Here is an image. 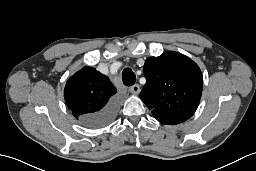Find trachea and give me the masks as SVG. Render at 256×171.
<instances>
[{
	"instance_id": "trachea-1",
	"label": "trachea",
	"mask_w": 256,
	"mask_h": 171,
	"mask_svg": "<svg viewBox=\"0 0 256 171\" xmlns=\"http://www.w3.org/2000/svg\"><path fill=\"white\" fill-rule=\"evenodd\" d=\"M122 81L125 86H132L136 82L135 73L130 68H125L122 72Z\"/></svg>"
}]
</instances>
